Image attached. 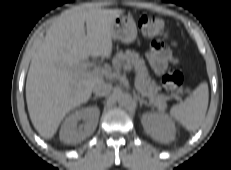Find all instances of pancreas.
<instances>
[{"instance_id":"pancreas-1","label":"pancreas","mask_w":231,"mask_h":170,"mask_svg":"<svg viewBox=\"0 0 231 170\" xmlns=\"http://www.w3.org/2000/svg\"><path fill=\"white\" fill-rule=\"evenodd\" d=\"M112 64L116 71H119L126 65L134 67L136 79L142 91L148 94V97L155 106L160 109L165 108L166 97L164 95H158L159 88L149 77L145 61L139 57L137 52L131 50H126L125 52L119 51L113 57Z\"/></svg>"}]
</instances>
